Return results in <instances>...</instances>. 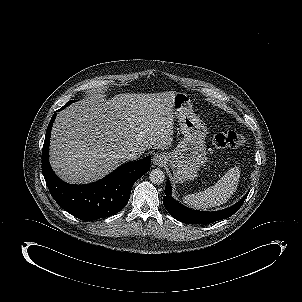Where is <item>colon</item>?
I'll use <instances>...</instances> for the list:
<instances>
[{
  "label": "colon",
  "instance_id": "5ec220e1",
  "mask_svg": "<svg viewBox=\"0 0 302 302\" xmlns=\"http://www.w3.org/2000/svg\"><path fill=\"white\" fill-rule=\"evenodd\" d=\"M245 136L237 132H225L216 134L211 141L212 150L223 148H236L245 144Z\"/></svg>",
  "mask_w": 302,
  "mask_h": 302
}]
</instances>
